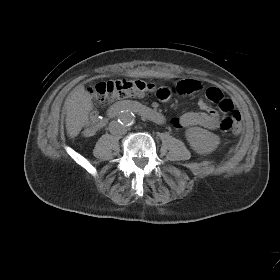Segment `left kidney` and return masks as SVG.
I'll list each match as a JSON object with an SVG mask.
<instances>
[{
  "label": "left kidney",
  "instance_id": "left-kidney-1",
  "mask_svg": "<svg viewBox=\"0 0 280 280\" xmlns=\"http://www.w3.org/2000/svg\"><path fill=\"white\" fill-rule=\"evenodd\" d=\"M186 137L192 149L199 154L211 153L220 143L217 135L200 127L188 129L186 131Z\"/></svg>",
  "mask_w": 280,
  "mask_h": 280
}]
</instances>
